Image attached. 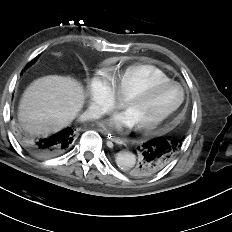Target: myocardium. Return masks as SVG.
<instances>
[{"label":"myocardium","instance_id":"f54148a6","mask_svg":"<svg viewBox=\"0 0 232 232\" xmlns=\"http://www.w3.org/2000/svg\"><path fill=\"white\" fill-rule=\"evenodd\" d=\"M167 86H176L180 89V91H181L180 100L178 101V103L175 106H173L169 111H167L159 119H157L153 122H150V123L136 126L137 131L142 132V133L151 132V131L155 130L156 128L160 127L167 120H169L183 105L185 97H186L185 88L179 82H177L175 80H168V81H164V82L155 83L147 88H144L142 90L134 92L122 100L123 101L122 105L124 108H126L131 102L143 101L147 97L151 96L155 92H157L160 89L167 87Z\"/></svg>","mask_w":232,"mask_h":232}]
</instances>
